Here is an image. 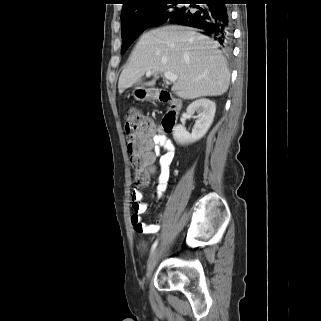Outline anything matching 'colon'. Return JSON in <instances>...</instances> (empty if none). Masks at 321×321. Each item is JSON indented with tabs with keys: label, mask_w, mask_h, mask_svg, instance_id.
<instances>
[{
	"label": "colon",
	"mask_w": 321,
	"mask_h": 321,
	"mask_svg": "<svg viewBox=\"0 0 321 321\" xmlns=\"http://www.w3.org/2000/svg\"><path fill=\"white\" fill-rule=\"evenodd\" d=\"M152 123L137 108H130L125 116V133L131 162L135 168V179L142 182L148 177L146 167L150 158L148 138L151 134Z\"/></svg>",
	"instance_id": "5ec220e1"
}]
</instances>
